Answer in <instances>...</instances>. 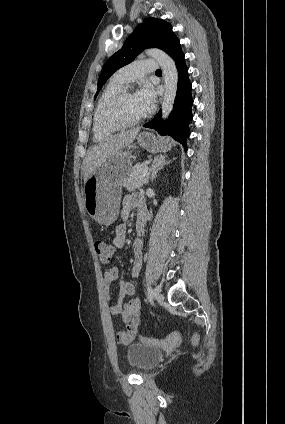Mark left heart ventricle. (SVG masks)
Masks as SVG:
<instances>
[{
	"instance_id": "obj_1",
	"label": "left heart ventricle",
	"mask_w": 285,
	"mask_h": 424,
	"mask_svg": "<svg viewBox=\"0 0 285 424\" xmlns=\"http://www.w3.org/2000/svg\"><path fill=\"white\" fill-rule=\"evenodd\" d=\"M116 114L125 121H132L143 116L146 112L143 110L136 93H132L119 104Z\"/></svg>"
}]
</instances>
